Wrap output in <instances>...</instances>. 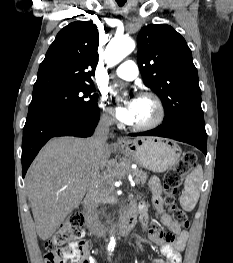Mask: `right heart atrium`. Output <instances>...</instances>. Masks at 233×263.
<instances>
[{
	"instance_id": "d8ad5b80",
	"label": "right heart atrium",
	"mask_w": 233,
	"mask_h": 263,
	"mask_svg": "<svg viewBox=\"0 0 233 263\" xmlns=\"http://www.w3.org/2000/svg\"><path fill=\"white\" fill-rule=\"evenodd\" d=\"M100 106L103 109V113L101 116V119L104 123L106 124H111L113 122V115L111 110L108 108L107 104H106V98L102 97L101 102H100Z\"/></svg>"
}]
</instances>
